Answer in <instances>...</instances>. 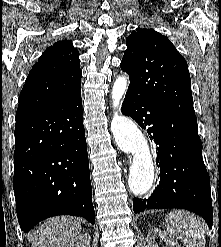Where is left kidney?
I'll return each instance as SVG.
<instances>
[{
    "instance_id": "obj_1",
    "label": "left kidney",
    "mask_w": 221,
    "mask_h": 247,
    "mask_svg": "<svg viewBox=\"0 0 221 247\" xmlns=\"http://www.w3.org/2000/svg\"><path fill=\"white\" fill-rule=\"evenodd\" d=\"M159 237L161 240H164L166 246L168 247H180L179 244L167 233L159 230V229H152L148 236H147V247H158L155 243V237Z\"/></svg>"
}]
</instances>
